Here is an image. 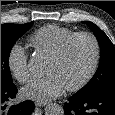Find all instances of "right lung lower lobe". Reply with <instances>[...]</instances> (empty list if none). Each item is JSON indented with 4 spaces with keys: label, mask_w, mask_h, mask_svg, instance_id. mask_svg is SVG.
Segmentation results:
<instances>
[{
    "label": "right lung lower lobe",
    "mask_w": 115,
    "mask_h": 115,
    "mask_svg": "<svg viewBox=\"0 0 115 115\" xmlns=\"http://www.w3.org/2000/svg\"><path fill=\"white\" fill-rule=\"evenodd\" d=\"M18 90L15 85L10 87H1V115H29L33 112L35 106L30 100L21 102L18 105L7 107L6 103L13 99Z\"/></svg>",
    "instance_id": "1"
}]
</instances>
